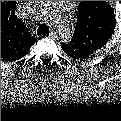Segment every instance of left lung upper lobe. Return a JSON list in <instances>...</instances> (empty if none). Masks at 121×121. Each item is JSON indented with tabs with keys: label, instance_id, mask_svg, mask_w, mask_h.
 <instances>
[{
	"label": "left lung upper lobe",
	"instance_id": "5c2ea615",
	"mask_svg": "<svg viewBox=\"0 0 121 121\" xmlns=\"http://www.w3.org/2000/svg\"><path fill=\"white\" fill-rule=\"evenodd\" d=\"M116 25L111 7L104 1H83L78 7L77 24L70 44L62 49L73 58L89 56L111 38Z\"/></svg>",
	"mask_w": 121,
	"mask_h": 121
}]
</instances>
